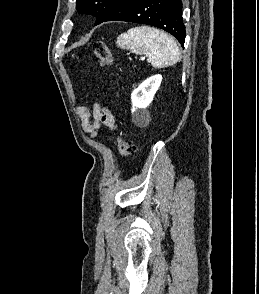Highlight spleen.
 <instances>
[{"instance_id":"3e777b00","label":"spleen","mask_w":259,"mask_h":294,"mask_svg":"<svg viewBox=\"0 0 259 294\" xmlns=\"http://www.w3.org/2000/svg\"><path fill=\"white\" fill-rule=\"evenodd\" d=\"M116 45L135 54H145L154 68L172 66L180 60L175 40L148 26L134 27L118 36Z\"/></svg>"}]
</instances>
